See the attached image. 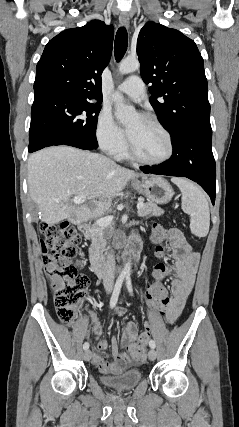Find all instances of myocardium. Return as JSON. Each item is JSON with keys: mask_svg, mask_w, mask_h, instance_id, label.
Returning a JSON list of instances; mask_svg holds the SVG:
<instances>
[{"mask_svg": "<svg viewBox=\"0 0 239 427\" xmlns=\"http://www.w3.org/2000/svg\"><path fill=\"white\" fill-rule=\"evenodd\" d=\"M142 119H144L145 121H147L148 123L154 125L155 127H157L166 137L167 142H168V152L167 154L159 159V160H147L143 157H141L133 148L132 143L129 139V137L127 138V154L128 156L143 165H147V166H159L162 165L166 162H168L174 155V151H175V147H174V141H173V137L170 133V131L160 122L158 121L155 117L149 115V114H142L140 116Z\"/></svg>", "mask_w": 239, "mask_h": 427, "instance_id": "f54148a6", "label": "myocardium"}]
</instances>
